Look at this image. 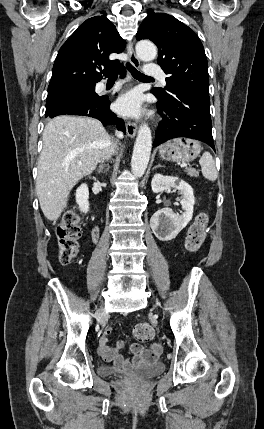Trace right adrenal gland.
Listing matches in <instances>:
<instances>
[{"label":"right adrenal gland","mask_w":264,"mask_h":429,"mask_svg":"<svg viewBox=\"0 0 264 429\" xmlns=\"http://www.w3.org/2000/svg\"><path fill=\"white\" fill-rule=\"evenodd\" d=\"M108 169H109V166L106 168V170H108ZM97 172H98L99 174L103 172V168H102V166H100V167H99V169L97 170Z\"/></svg>","instance_id":"obj_1"}]
</instances>
